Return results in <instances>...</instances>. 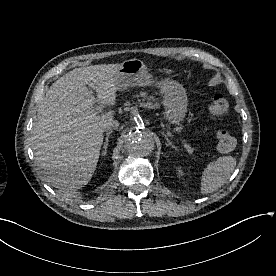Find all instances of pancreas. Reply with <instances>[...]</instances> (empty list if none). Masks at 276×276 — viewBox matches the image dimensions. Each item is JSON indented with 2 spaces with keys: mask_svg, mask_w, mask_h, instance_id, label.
I'll return each mask as SVG.
<instances>
[{
  "mask_svg": "<svg viewBox=\"0 0 276 276\" xmlns=\"http://www.w3.org/2000/svg\"><path fill=\"white\" fill-rule=\"evenodd\" d=\"M139 96L143 97L144 99L143 100H152L154 101L155 98L153 96H147V93L146 92H140V95H136V97L138 98ZM140 101V99H138ZM150 108L152 109H156V108H159L160 107V104L155 102V103H150L149 105Z\"/></svg>",
  "mask_w": 276,
  "mask_h": 276,
  "instance_id": "1",
  "label": "pancreas"
}]
</instances>
